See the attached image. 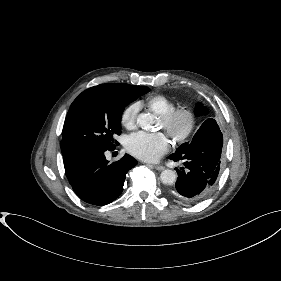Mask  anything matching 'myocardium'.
I'll use <instances>...</instances> for the list:
<instances>
[{
  "label": "myocardium",
  "instance_id": "f54148a6",
  "mask_svg": "<svg viewBox=\"0 0 281 281\" xmlns=\"http://www.w3.org/2000/svg\"><path fill=\"white\" fill-rule=\"evenodd\" d=\"M179 118L185 120V126L181 131H175L173 125ZM160 121L163 129L176 144L185 142L192 135L196 127L195 112L188 106L175 107L173 110L160 116Z\"/></svg>",
  "mask_w": 281,
  "mask_h": 281
}]
</instances>
